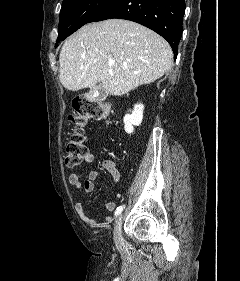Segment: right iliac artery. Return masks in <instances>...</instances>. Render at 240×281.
<instances>
[{
    "mask_svg": "<svg viewBox=\"0 0 240 281\" xmlns=\"http://www.w3.org/2000/svg\"><path fill=\"white\" fill-rule=\"evenodd\" d=\"M123 209H124V206H123V205L117 207V209H116V211H115V216H118V215L122 212Z\"/></svg>",
    "mask_w": 240,
    "mask_h": 281,
    "instance_id": "obj_1",
    "label": "right iliac artery"
}]
</instances>
